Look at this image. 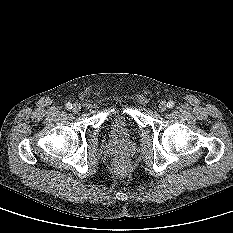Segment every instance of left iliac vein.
Wrapping results in <instances>:
<instances>
[{
	"label": "left iliac vein",
	"instance_id": "obj_1",
	"mask_svg": "<svg viewBox=\"0 0 233 233\" xmlns=\"http://www.w3.org/2000/svg\"><path fill=\"white\" fill-rule=\"evenodd\" d=\"M166 109H167V104H166V102H164V101L160 102V103H159V110H160L161 112H164V111H166Z\"/></svg>",
	"mask_w": 233,
	"mask_h": 233
}]
</instances>
